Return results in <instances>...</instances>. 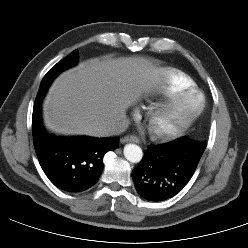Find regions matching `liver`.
Instances as JSON below:
<instances>
[{
  "label": "liver",
  "mask_w": 248,
  "mask_h": 248,
  "mask_svg": "<svg viewBox=\"0 0 248 248\" xmlns=\"http://www.w3.org/2000/svg\"><path fill=\"white\" fill-rule=\"evenodd\" d=\"M160 80L146 59H89L62 73L44 102L45 126L58 134L106 136L126 109Z\"/></svg>",
  "instance_id": "liver-1"
}]
</instances>
